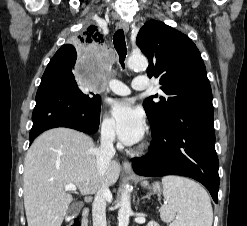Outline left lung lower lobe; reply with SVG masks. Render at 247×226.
Masks as SVG:
<instances>
[{
    "label": "left lung lower lobe",
    "instance_id": "0a47b994",
    "mask_svg": "<svg viewBox=\"0 0 247 226\" xmlns=\"http://www.w3.org/2000/svg\"><path fill=\"white\" fill-rule=\"evenodd\" d=\"M152 139L149 153L133 158L132 166L138 175L191 177L202 183L218 202L219 162L211 102L188 106L153 128Z\"/></svg>",
    "mask_w": 247,
    "mask_h": 226
}]
</instances>
